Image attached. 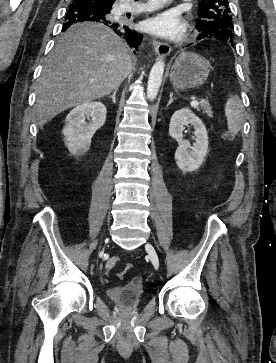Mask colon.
I'll return each instance as SVG.
<instances>
[{
	"mask_svg": "<svg viewBox=\"0 0 276 363\" xmlns=\"http://www.w3.org/2000/svg\"><path fill=\"white\" fill-rule=\"evenodd\" d=\"M224 138L226 140H231L232 139V136H231V134L229 132H226V133H224ZM130 268H131V264H128L126 266V270H129ZM133 283L136 284V285H138V284H140V280L139 279H136V280L133 281Z\"/></svg>",
	"mask_w": 276,
	"mask_h": 363,
	"instance_id": "obj_1",
	"label": "colon"
}]
</instances>
